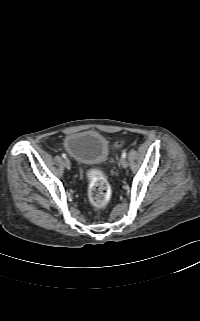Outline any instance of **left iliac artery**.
Segmentation results:
<instances>
[{
	"label": "left iliac artery",
	"mask_w": 200,
	"mask_h": 321,
	"mask_svg": "<svg viewBox=\"0 0 200 321\" xmlns=\"http://www.w3.org/2000/svg\"><path fill=\"white\" fill-rule=\"evenodd\" d=\"M126 155H127L126 152H123V153H122V157H123V158H126Z\"/></svg>",
	"instance_id": "44dca946"
}]
</instances>
